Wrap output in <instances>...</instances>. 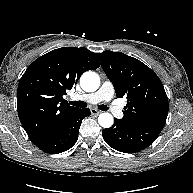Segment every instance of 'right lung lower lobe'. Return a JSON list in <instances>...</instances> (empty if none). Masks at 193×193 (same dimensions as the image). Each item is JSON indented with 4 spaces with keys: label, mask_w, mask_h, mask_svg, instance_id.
<instances>
[{
    "label": "right lung lower lobe",
    "mask_w": 193,
    "mask_h": 193,
    "mask_svg": "<svg viewBox=\"0 0 193 193\" xmlns=\"http://www.w3.org/2000/svg\"><path fill=\"white\" fill-rule=\"evenodd\" d=\"M90 115L88 108L79 109L77 113L65 121L48 138L36 144V146L50 154L64 152L76 143L78 139L79 128L83 118Z\"/></svg>",
    "instance_id": "1"
}]
</instances>
